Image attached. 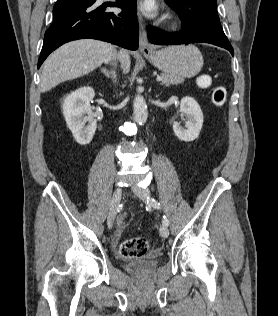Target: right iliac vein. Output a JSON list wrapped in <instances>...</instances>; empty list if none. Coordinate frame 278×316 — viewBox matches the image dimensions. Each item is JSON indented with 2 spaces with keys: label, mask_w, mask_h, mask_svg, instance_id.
Returning <instances> with one entry per match:
<instances>
[{
  "label": "right iliac vein",
  "mask_w": 278,
  "mask_h": 316,
  "mask_svg": "<svg viewBox=\"0 0 278 316\" xmlns=\"http://www.w3.org/2000/svg\"><path fill=\"white\" fill-rule=\"evenodd\" d=\"M121 196H122V189L118 187L115 189L113 193L110 206H109V212H108V217H107V225L109 228H112L114 224V220H115L116 212L118 210V206L121 200Z\"/></svg>",
  "instance_id": "1"
}]
</instances>
